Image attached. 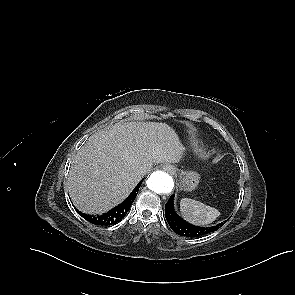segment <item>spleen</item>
I'll list each match as a JSON object with an SVG mask.
<instances>
[{"instance_id":"3e777b00","label":"spleen","mask_w":295,"mask_h":295,"mask_svg":"<svg viewBox=\"0 0 295 295\" xmlns=\"http://www.w3.org/2000/svg\"><path fill=\"white\" fill-rule=\"evenodd\" d=\"M180 211L186 220L195 225H207L220 215L217 209L190 198L180 201Z\"/></svg>"}]
</instances>
